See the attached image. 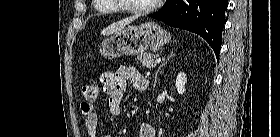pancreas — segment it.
Here are the masks:
<instances>
[{
  "instance_id": "obj_1",
  "label": "pancreas",
  "mask_w": 280,
  "mask_h": 137,
  "mask_svg": "<svg viewBox=\"0 0 280 137\" xmlns=\"http://www.w3.org/2000/svg\"><path fill=\"white\" fill-rule=\"evenodd\" d=\"M154 58L155 56L153 54L143 53L138 57V61H140L143 66L153 68L155 66Z\"/></svg>"
}]
</instances>
